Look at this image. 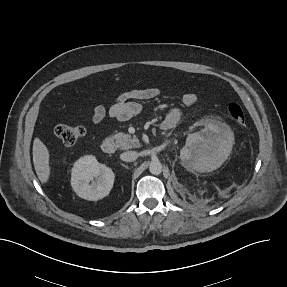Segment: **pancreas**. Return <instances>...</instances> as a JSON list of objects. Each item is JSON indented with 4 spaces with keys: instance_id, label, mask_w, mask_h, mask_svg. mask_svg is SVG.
Listing matches in <instances>:
<instances>
[{
    "instance_id": "cf45deb5",
    "label": "pancreas",
    "mask_w": 287,
    "mask_h": 287,
    "mask_svg": "<svg viewBox=\"0 0 287 287\" xmlns=\"http://www.w3.org/2000/svg\"><path fill=\"white\" fill-rule=\"evenodd\" d=\"M116 142V147L122 150L140 147V143L137 137H132L130 134L117 133L113 136Z\"/></svg>"
}]
</instances>
